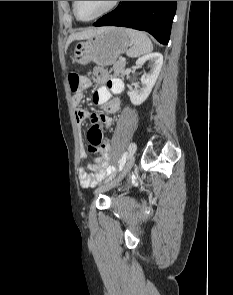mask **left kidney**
<instances>
[{
  "label": "left kidney",
  "mask_w": 233,
  "mask_h": 295,
  "mask_svg": "<svg viewBox=\"0 0 233 295\" xmlns=\"http://www.w3.org/2000/svg\"><path fill=\"white\" fill-rule=\"evenodd\" d=\"M147 61L151 62V71L142 75V88L136 85L134 90L128 92V96L130 97V100L134 105L142 104L151 93V90L155 85V82L162 68L163 56L159 52L146 54L137 59L136 66L140 67Z\"/></svg>",
  "instance_id": "left-kidney-1"
}]
</instances>
